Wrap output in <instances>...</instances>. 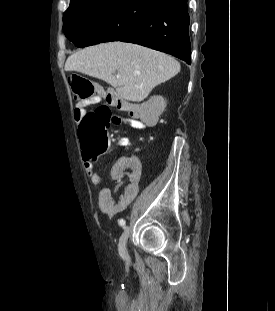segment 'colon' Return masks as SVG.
<instances>
[{"instance_id":"5ec220e1","label":"colon","mask_w":275,"mask_h":311,"mask_svg":"<svg viewBox=\"0 0 275 311\" xmlns=\"http://www.w3.org/2000/svg\"><path fill=\"white\" fill-rule=\"evenodd\" d=\"M69 81L73 90V99L77 103L100 104L98 96L112 98L115 101L123 102L121 96L113 92L102 91L93 81L78 74H71ZM130 105V104H129ZM133 109V106L130 105ZM144 122L154 123L150 116L141 115ZM125 123V118L113 112L107 105H101L94 111L86 112L81 121L79 135L81 144L89 157H96L107 153L111 148L109 128L112 125Z\"/></svg>"}]
</instances>
